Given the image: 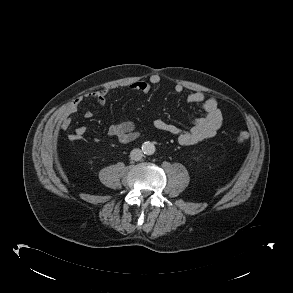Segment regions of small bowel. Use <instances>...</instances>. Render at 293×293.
<instances>
[{
	"label": "small bowel",
	"instance_id": "obj_1",
	"mask_svg": "<svg viewBox=\"0 0 293 293\" xmlns=\"http://www.w3.org/2000/svg\"><path fill=\"white\" fill-rule=\"evenodd\" d=\"M159 82V75L154 74L150 76L149 81L141 80L134 82L130 84L129 88L132 91L147 94L150 92L152 86ZM109 91L110 89L108 88H102L72 99L56 113L53 120L55 126L61 130H67L71 126L72 115L78 111L83 100L93 99L100 106H104ZM174 91L176 93H181L183 91V86L181 84H176L174 86ZM186 102L200 105L205 112L202 117L191 118V127L188 130H183L160 118L154 120V127L160 131L176 136L179 144L183 146L195 145L215 136L223 123V114L218 106L217 100L214 97L207 96L203 92H192L186 96ZM84 117L86 119L92 118L93 112L90 110L85 111ZM86 130V126H79L68 135V139L71 141L81 140L85 135ZM107 134L111 137H115L123 144L134 141L140 135L132 121H123L110 125Z\"/></svg>",
	"mask_w": 293,
	"mask_h": 293
}]
</instances>
